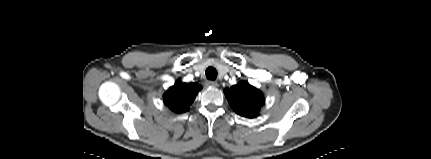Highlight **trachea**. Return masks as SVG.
Segmentation results:
<instances>
[{"instance_id":"1","label":"trachea","mask_w":431,"mask_h":159,"mask_svg":"<svg viewBox=\"0 0 431 159\" xmlns=\"http://www.w3.org/2000/svg\"><path fill=\"white\" fill-rule=\"evenodd\" d=\"M206 77L209 80H215L217 77V70L213 67H208L205 71Z\"/></svg>"}]
</instances>
